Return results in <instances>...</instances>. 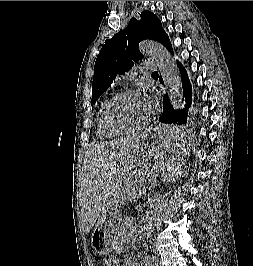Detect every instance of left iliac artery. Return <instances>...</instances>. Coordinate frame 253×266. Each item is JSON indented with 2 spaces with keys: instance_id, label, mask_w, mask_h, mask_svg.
<instances>
[{
  "instance_id": "1",
  "label": "left iliac artery",
  "mask_w": 253,
  "mask_h": 266,
  "mask_svg": "<svg viewBox=\"0 0 253 266\" xmlns=\"http://www.w3.org/2000/svg\"><path fill=\"white\" fill-rule=\"evenodd\" d=\"M152 260H153V262L155 263V265L157 266V264H158V259H157L155 256H153V257H152Z\"/></svg>"
}]
</instances>
